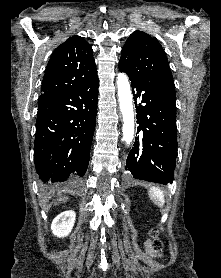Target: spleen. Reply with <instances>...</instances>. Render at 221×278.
I'll use <instances>...</instances> for the list:
<instances>
[{"label": "spleen", "mask_w": 221, "mask_h": 278, "mask_svg": "<svg viewBox=\"0 0 221 278\" xmlns=\"http://www.w3.org/2000/svg\"><path fill=\"white\" fill-rule=\"evenodd\" d=\"M149 197L152 202L159 207H162L165 203V198L163 192L157 187H151L149 191Z\"/></svg>", "instance_id": "obj_1"}]
</instances>
